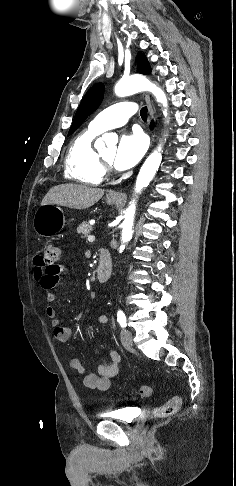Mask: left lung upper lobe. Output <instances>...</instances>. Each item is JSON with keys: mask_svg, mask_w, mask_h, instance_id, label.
Wrapping results in <instances>:
<instances>
[{"mask_svg": "<svg viewBox=\"0 0 236 486\" xmlns=\"http://www.w3.org/2000/svg\"><path fill=\"white\" fill-rule=\"evenodd\" d=\"M137 69L142 74H148L151 72L150 64L144 53L139 52L137 55ZM104 85L97 83L93 85L85 94L77 112L75 114L72 126L69 130V135L72 134L80 124L94 112L103 100Z\"/></svg>", "mask_w": 236, "mask_h": 486, "instance_id": "left-lung-upper-lobe-1", "label": "left lung upper lobe"}]
</instances>
